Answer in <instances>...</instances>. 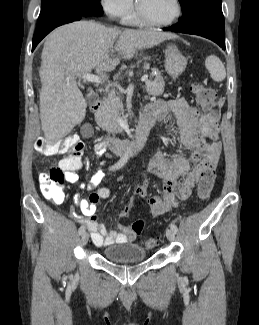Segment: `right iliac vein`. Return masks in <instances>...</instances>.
Here are the masks:
<instances>
[{"mask_svg": "<svg viewBox=\"0 0 259 325\" xmlns=\"http://www.w3.org/2000/svg\"><path fill=\"white\" fill-rule=\"evenodd\" d=\"M88 240H89V234L87 232H84L81 237L82 245L85 246L87 244Z\"/></svg>", "mask_w": 259, "mask_h": 325, "instance_id": "63e3f726", "label": "right iliac vein"}]
</instances>
